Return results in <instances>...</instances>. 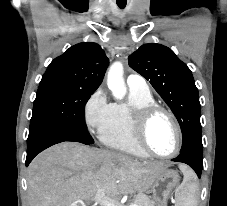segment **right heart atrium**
Returning <instances> with one entry per match:
<instances>
[{
  "label": "right heart atrium",
  "mask_w": 227,
  "mask_h": 206,
  "mask_svg": "<svg viewBox=\"0 0 227 206\" xmlns=\"http://www.w3.org/2000/svg\"><path fill=\"white\" fill-rule=\"evenodd\" d=\"M112 103L102 88L95 90L84 106V119L88 130L100 135L108 125Z\"/></svg>",
  "instance_id": "obj_1"
}]
</instances>
